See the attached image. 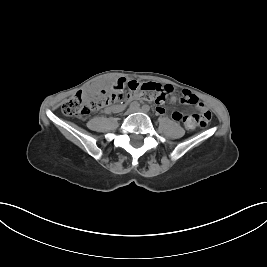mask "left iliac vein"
<instances>
[{"instance_id":"1","label":"left iliac vein","mask_w":267,"mask_h":267,"mask_svg":"<svg viewBox=\"0 0 267 267\" xmlns=\"http://www.w3.org/2000/svg\"><path fill=\"white\" fill-rule=\"evenodd\" d=\"M138 111L143 112V113H147V112H148V111L145 110L144 108L138 109Z\"/></svg>"}]
</instances>
